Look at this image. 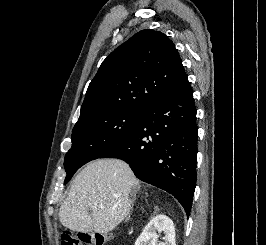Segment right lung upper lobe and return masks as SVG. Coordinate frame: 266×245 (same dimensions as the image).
Masks as SVG:
<instances>
[{
  "instance_id": "obj_1",
  "label": "right lung upper lobe",
  "mask_w": 266,
  "mask_h": 245,
  "mask_svg": "<svg viewBox=\"0 0 266 245\" xmlns=\"http://www.w3.org/2000/svg\"><path fill=\"white\" fill-rule=\"evenodd\" d=\"M187 81L172 41L160 31L141 30L103 61L89 84L79 118L107 108L146 111Z\"/></svg>"
}]
</instances>
